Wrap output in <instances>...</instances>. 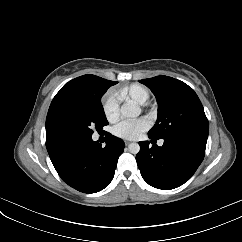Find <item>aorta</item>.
Masks as SVG:
<instances>
[{
  "instance_id": "762f6f07",
  "label": "aorta",
  "mask_w": 242,
  "mask_h": 242,
  "mask_svg": "<svg viewBox=\"0 0 242 242\" xmlns=\"http://www.w3.org/2000/svg\"><path fill=\"white\" fill-rule=\"evenodd\" d=\"M121 114L125 118H135L140 114V108L134 104L126 103L121 108ZM128 150L132 154H137L140 151V146L138 143H131Z\"/></svg>"
}]
</instances>
